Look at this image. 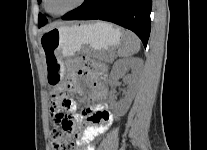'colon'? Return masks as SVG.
I'll use <instances>...</instances> for the list:
<instances>
[{"instance_id": "obj_1", "label": "colon", "mask_w": 207, "mask_h": 150, "mask_svg": "<svg viewBox=\"0 0 207 150\" xmlns=\"http://www.w3.org/2000/svg\"><path fill=\"white\" fill-rule=\"evenodd\" d=\"M51 103V125H55L51 134L52 150H77L76 136L71 133L72 121L67 111L70 100L65 92H57L51 95Z\"/></svg>"}]
</instances>
